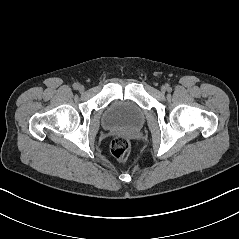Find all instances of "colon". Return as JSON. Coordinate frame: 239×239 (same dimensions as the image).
I'll use <instances>...</instances> for the list:
<instances>
[{
  "instance_id": "1",
  "label": "colon",
  "mask_w": 239,
  "mask_h": 239,
  "mask_svg": "<svg viewBox=\"0 0 239 239\" xmlns=\"http://www.w3.org/2000/svg\"><path fill=\"white\" fill-rule=\"evenodd\" d=\"M131 150L130 142L124 137H116L111 142V153L119 162L127 161Z\"/></svg>"
}]
</instances>
